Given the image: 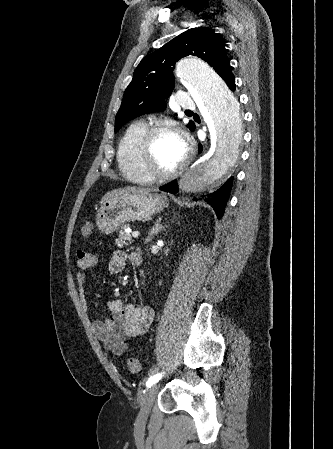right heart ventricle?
Wrapping results in <instances>:
<instances>
[{
    "mask_svg": "<svg viewBox=\"0 0 333 449\" xmlns=\"http://www.w3.org/2000/svg\"><path fill=\"white\" fill-rule=\"evenodd\" d=\"M147 125L143 121L131 123L117 147V162L123 176L137 183H150L139 164L138 146Z\"/></svg>",
    "mask_w": 333,
    "mask_h": 449,
    "instance_id": "obj_1",
    "label": "right heart ventricle"
}]
</instances>
